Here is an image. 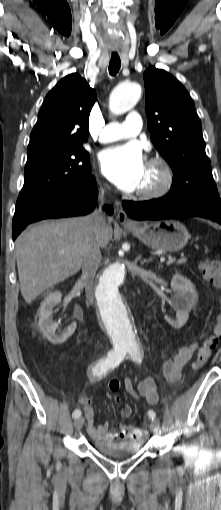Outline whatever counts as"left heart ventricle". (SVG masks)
Masks as SVG:
<instances>
[{"mask_svg": "<svg viewBox=\"0 0 221 510\" xmlns=\"http://www.w3.org/2000/svg\"><path fill=\"white\" fill-rule=\"evenodd\" d=\"M161 180V173L157 167L146 165L145 174L139 190L155 188Z\"/></svg>", "mask_w": 221, "mask_h": 510, "instance_id": "1", "label": "left heart ventricle"}]
</instances>
